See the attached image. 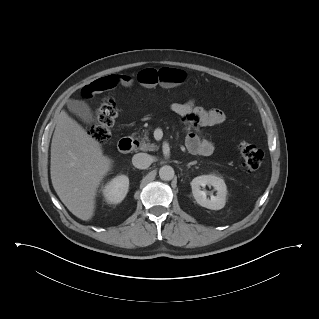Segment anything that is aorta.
<instances>
[{"mask_svg":"<svg viewBox=\"0 0 319 319\" xmlns=\"http://www.w3.org/2000/svg\"><path fill=\"white\" fill-rule=\"evenodd\" d=\"M174 169L169 165H164L159 169V176L164 181H170L174 177Z\"/></svg>","mask_w":319,"mask_h":319,"instance_id":"762f6f07","label":"aorta"}]
</instances>
